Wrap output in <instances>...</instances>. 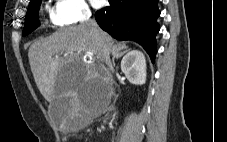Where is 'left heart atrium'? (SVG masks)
Listing matches in <instances>:
<instances>
[{
	"label": "left heart atrium",
	"mask_w": 227,
	"mask_h": 142,
	"mask_svg": "<svg viewBox=\"0 0 227 142\" xmlns=\"http://www.w3.org/2000/svg\"><path fill=\"white\" fill-rule=\"evenodd\" d=\"M90 2L95 8H100L104 5L105 0H90Z\"/></svg>",
	"instance_id": "obj_1"
}]
</instances>
